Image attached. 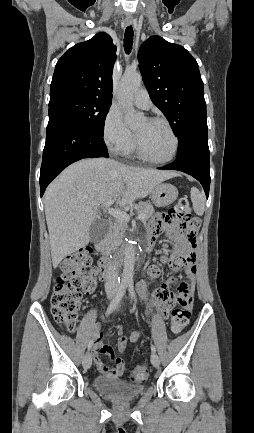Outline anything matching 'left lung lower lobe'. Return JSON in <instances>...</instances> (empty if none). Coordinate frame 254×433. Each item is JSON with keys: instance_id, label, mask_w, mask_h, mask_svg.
<instances>
[{"instance_id": "left-lung-lower-lobe-1", "label": "left lung lower lobe", "mask_w": 254, "mask_h": 433, "mask_svg": "<svg viewBox=\"0 0 254 433\" xmlns=\"http://www.w3.org/2000/svg\"><path fill=\"white\" fill-rule=\"evenodd\" d=\"M158 169L178 170L196 178L203 186L208 198L210 166L208 142H197L178 152L174 162Z\"/></svg>"}]
</instances>
